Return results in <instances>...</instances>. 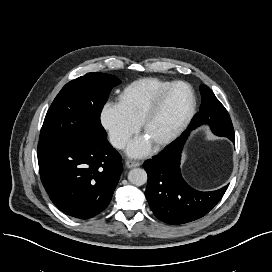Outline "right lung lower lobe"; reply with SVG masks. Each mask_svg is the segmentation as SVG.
<instances>
[{
	"label": "right lung lower lobe",
	"instance_id": "98d812e1",
	"mask_svg": "<svg viewBox=\"0 0 272 272\" xmlns=\"http://www.w3.org/2000/svg\"><path fill=\"white\" fill-rule=\"evenodd\" d=\"M121 161L106 138L38 143L40 177L51 201L79 219L92 218L108 206L123 170Z\"/></svg>",
	"mask_w": 272,
	"mask_h": 272
}]
</instances>
